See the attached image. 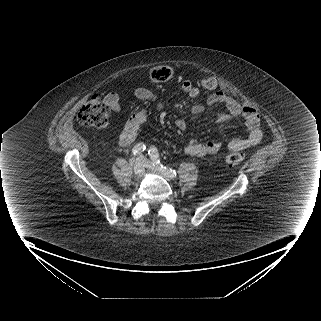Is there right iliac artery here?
Instances as JSON below:
<instances>
[{"label":"right iliac artery","mask_w":321,"mask_h":321,"mask_svg":"<svg viewBox=\"0 0 321 321\" xmlns=\"http://www.w3.org/2000/svg\"><path fill=\"white\" fill-rule=\"evenodd\" d=\"M146 149V146L143 143L136 144L132 149V155L136 156L143 152Z\"/></svg>","instance_id":"1"}]
</instances>
